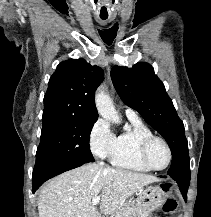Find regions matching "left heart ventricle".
<instances>
[{"instance_id":"b2bd125f","label":"left heart ventricle","mask_w":211,"mask_h":217,"mask_svg":"<svg viewBox=\"0 0 211 217\" xmlns=\"http://www.w3.org/2000/svg\"><path fill=\"white\" fill-rule=\"evenodd\" d=\"M168 151L163 143L155 141L149 149V160L157 168L164 167L168 162Z\"/></svg>"}]
</instances>
